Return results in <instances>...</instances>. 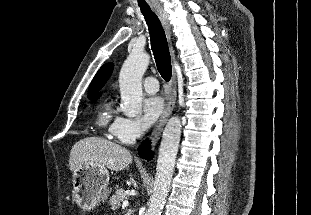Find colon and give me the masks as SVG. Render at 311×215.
I'll list each match as a JSON object with an SVG mask.
<instances>
[{"instance_id": "colon-1", "label": "colon", "mask_w": 311, "mask_h": 215, "mask_svg": "<svg viewBox=\"0 0 311 215\" xmlns=\"http://www.w3.org/2000/svg\"><path fill=\"white\" fill-rule=\"evenodd\" d=\"M81 215H86L85 213H82Z\"/></svg>"}]
</instances>
